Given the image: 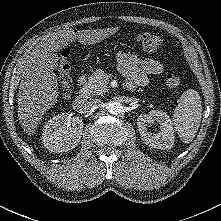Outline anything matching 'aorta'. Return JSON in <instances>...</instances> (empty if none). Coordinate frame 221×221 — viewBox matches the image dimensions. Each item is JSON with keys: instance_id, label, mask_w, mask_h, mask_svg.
Returning <instances> with one entry per match:
<instances>
[{"instance_id": "aorta-1", "label": "aorta", "mask_w": 221, "mask_h": 221, "mask_svg": "<svg viewBox=\"0 0 221 221\" xmlns=\"http://www.w3.org/2000/svg\"><path fill=\"white\" fill-rule=\"evenodd\" d=\"M108 111L113 115H118L122 112V104L118 101H111L107 106Z\"/></svg>"}]
</instances>
